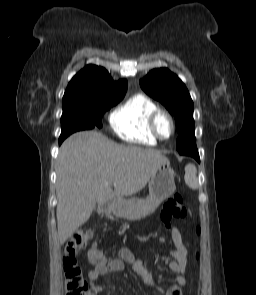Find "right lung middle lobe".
<instances>
[{
	"mask_svg": "<svg viewBox=\"0 0 256 295\" xmlns=\"http://www.w3.org/2000/svg\"><path fill=\"white\" fill-rule=\"evenodd\" d=\"M125 94L111 98H100L84 103L69 105L63 107L61 117L62 132L60 138L65 139L70 134L80 130L92 129L94 127H102L103 114L119 103ZM90 120L87 125L86 121Z\"/></svg>",
	"mask_w": 256,
	"mask_h": 295,
	"instance_id": "dd1d6c3e",
	"label": "right lung middle lobe"
}]
</instances>
